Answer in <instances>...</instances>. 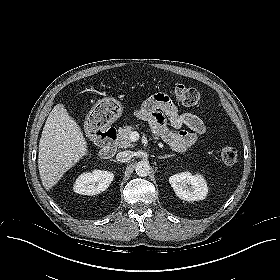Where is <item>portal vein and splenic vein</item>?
<instances>
[{"mask_svg": "<svg viewBox=\"0 0 280 280\" xmlns=\"http://www.w3.org/2000/svg\"><path fill=\"white\" fill-rule=\"evenodd\" d=\"M139 139V133L136 131H133L130 133V140L131 141H137Z\"/></svg>", "mask_w": 280, "mask_h": 280, "instance_id": "obj_1", "label": "portal vein and splenic vein"}]
</instances>
